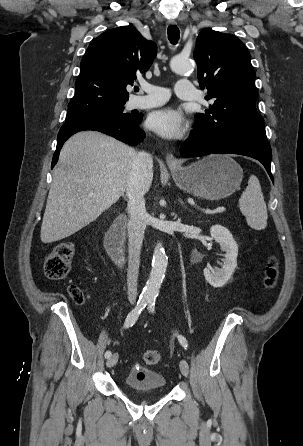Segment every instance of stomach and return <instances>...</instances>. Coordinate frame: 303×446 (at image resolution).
Segmentation results:
<instances>
[{"instance_id": "obj_1", "label": "stomach", "mask_w": 303, "mask_h": 446, "mask_svg": "<svg viewBox=\"0 0 303 446\" xmlns=\"http://www.w3.org/2000/svg\"><path fill=\"white\" fill-rule=\"evenodd\" d=\"M170 170L180 189L208 200L230 196L243 179L241 166L221 154L204 157L186 167H170Z\"/></svg>"}]
</instances>
